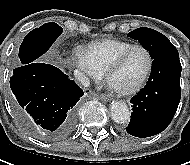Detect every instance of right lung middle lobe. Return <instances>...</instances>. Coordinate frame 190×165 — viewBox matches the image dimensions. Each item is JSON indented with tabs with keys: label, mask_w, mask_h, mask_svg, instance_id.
I'll use <instances>...</instances> for the list:
<instances>
[{
	"label": "right lung middle lobe",
	"mask_w": 190,
	"mask_h": 165,
	"mask_svg": "<svg viewBox=\"0 0 190 165\" xmlns=\"http://www.w3.org/2000/svg\"><path fill=\"white\" fill-rule=\"evenodd\" d=\"M62 33V28L54 23H45L32 30L23 40L19 48L20 65L38 61Z\"/></svg>",
	"instance_id": "right-lung-middle-lobe-1"
}]
</instances>
